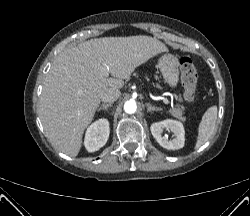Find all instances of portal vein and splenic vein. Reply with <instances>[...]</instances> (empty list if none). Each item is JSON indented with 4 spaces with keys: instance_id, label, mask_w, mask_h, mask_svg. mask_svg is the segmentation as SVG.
Here are the masks:
<instances>
[{
    "instance_id": "1",
    "label": "portal vein and splenic vein",
    "mask_w": 250,
    "mask_h": 216,
    "mask_svg": "<svg viewBox=\"0 0 250 216\" xmlns=\"http://www.w3.org/2000/svg\"><path fill=\"white\" fill-rule=\"evenodd\" d=\"M108 75H109V68L107 67L106 70H105V76H108ZM163 102L165 104H169V101L167 99H165V98H163Z\"/></svg>"
}]
</instances>
